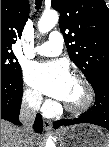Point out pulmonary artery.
Returning <instances> with one entry per match:
<instances>
[{"instance_id":"pulmonary-artery-1","label":"pulmonary artery","mask_w":109,"mask_h":147,"mask_svg":"<svg viewBox=\"0 0 109 147\" xmlns=\"http://www.w3.org/2000/svg\"><path fill=\"white\" fill-rule=\"evenodd\" d=\"M63 45V35L60 32H53L46 42L34 46L32 52L35 55L55 57L61 54Z\"/></svg>"}]
</instances>
